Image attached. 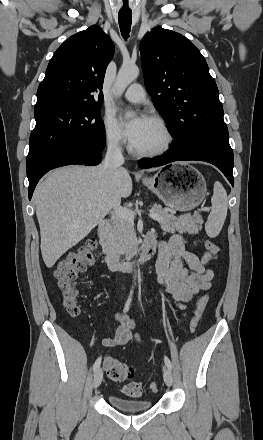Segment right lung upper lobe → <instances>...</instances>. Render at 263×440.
<instances>
[{"label": "right lung upper lobe", "instance_id": "cb5924a9", "mask_svg": "<svg viewBox=\"0 0 263 440\" xmlns=\"http://www.w3.org/2000/svg\"><path fill=\"white\" fill-rule=\"evenodd\" d=\"M112 40L95 25L69 37L51 58L37 90L36 108L57 105H101ZM94 92L98 93V102Z\"/></svg>", "mask_w": 263, "mask_h": 440}]
</instances>
